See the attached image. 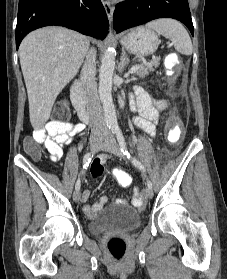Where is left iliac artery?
Listing matches in <instances>:
<instances>
[{
	"mask_svg": "<svg viewBox=\"0 0 227 279\" xmlns=\"http://www.w3.org/2000/svg\"><path fill=\"white\" fill-rule=\"evenodd\" d=\"M115 133H116V137H117V141L119 143L120 149L124 153V155H126L127 158L132 159V163L134 164L135 167H137L141 171L145 172V168L142 165V163L138 159L131 157V155L128 151L127 143L125 141V138L123 136L121 129L115 130ZM147 186L152 189V182L149 179L147 180Z\"/></svg>",
	"mask_w": 227,
	"mask_h": 279,
	"instance_id": "1",
	"label": "left iliac artery"
}]
</instances>
